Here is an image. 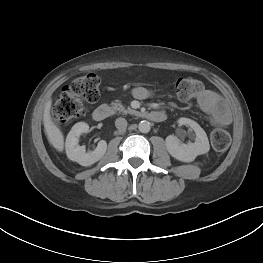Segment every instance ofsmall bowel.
<instances>
[{
	"label": "small bowel",
	"mask_w": 263,
	"mask_h": 263,
	"mask_svg": "<svg viewBox=\"0 0 263 263\" xmlns=\"http://www.w3.org/2000/svg\"><path fill=\"white\" fill-rule=\"evenodd\" d=\"M132 95L136 99L144 100L152 95V91L145 87H136L132 90ZM197 105L201 111L210 116L214 125L226 127L230 124V114L217 92L203 91L197 98Z\"/></svg>",
	"instance_id": "c3829d8e"
}]
</instances>
